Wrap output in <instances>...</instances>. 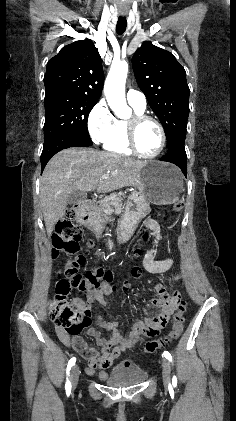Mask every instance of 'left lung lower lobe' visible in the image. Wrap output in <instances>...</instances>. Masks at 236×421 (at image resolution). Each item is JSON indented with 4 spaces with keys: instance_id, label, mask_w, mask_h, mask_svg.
<instances>
[{
    "instance_id": "obj_1",
    "label": "left lung lower lobe",
    "mask_w": 236,
    "mask_h": 421,
    "mask_svg": "<svg viewBox=\"0 0 236 421\" xmlns=\"http://www.w3.org/2000/svg\"><path fill=\"white\" fill-rule=\"evenodd\" d=\"M160 160L177 165L187 177V155L184 145H178L170 149Z\"/></svg>"
}]
</instances>
